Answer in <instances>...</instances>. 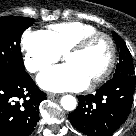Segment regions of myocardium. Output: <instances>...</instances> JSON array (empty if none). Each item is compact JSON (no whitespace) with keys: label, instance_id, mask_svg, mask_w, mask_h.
I'll use <instances>...</instances> for the list:
<instances>
[{"label":"myocardium","instance_id":"f54148a6","mask_svg":"<svg viewBox=\"0 0 136 136\" xmlns=\"http://www.w3.org/2000/svg\"><path fill=\"white\" fill-rule=\"evenodd\" d=\"M100 38H104L108 41L111 54H110L108 65L106 66L105 70L96 78L90 81L91 86H96L104 82L114 70V67L117 61V47L112 36L104 32H97V33L88 35L82 38L81 40H79L65 53V56L81 53L85 51L92 43H94L96 40Z\"/></svg>","mask_w":136,"mask_h":136}]
</instances>
